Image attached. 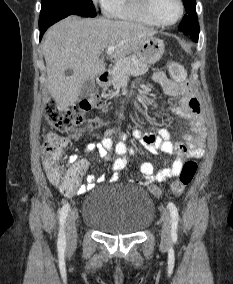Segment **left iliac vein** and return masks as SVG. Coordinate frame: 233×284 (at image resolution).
I'll return each instance as SVG.
<instances>
[{"instance_id": "1", "label": "left iliac vein", "mask_w": 233, "mask_h": 284, "mask_svg": "<svg viewBox=\"0 0 233 284\" xmlns=\"http://www.w3.org/2000/svg\"><path fill=\"white\" fill-rule=\"evenodd\" d=\"M162 230H161V242L163 245H169L171 239V218L166 210H163L162 214Z\"/></svg>"}]
</instances>
